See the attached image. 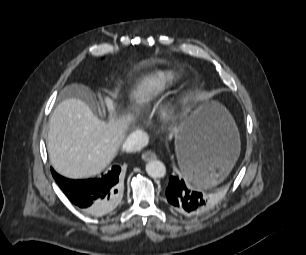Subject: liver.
I'll return each mask as SVG.
<instances>
[{"mask_svg":"<svg viewBox=\"0 0 306 255\" xmlns=\"http://www.w3.org/2000/svg\"><path fill=\"white\" fill-rule=\"evenodd\" d=\"M158 89L154 81L137 90L134 99L145 101V96ZM109 121L99 119L82 99L62 101L50 117L47 149L53 168L62 176L79 179L103 171L117 153L125 132L135 123L133 113L117 116L115 104L103 98Z\"/></svg>","mask_w":306,"mask_h":255,"instance_id":"liver-1","label":"liver"}]
</instances>
